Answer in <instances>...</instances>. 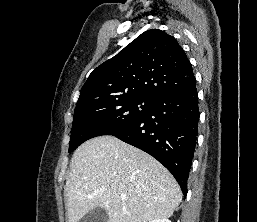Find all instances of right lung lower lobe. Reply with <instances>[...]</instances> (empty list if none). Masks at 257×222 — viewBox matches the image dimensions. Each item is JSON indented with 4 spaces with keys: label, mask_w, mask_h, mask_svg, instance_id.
I'll list each match as a JSON object with an SVG mask.
<instances>
[{
    "label": "right lung lower lobe",
    "mask_w": 257,
    "mask_h": 222,
    "mask_svg": "<svg viewBox=\"0 0 257 222\" xmlns=\"http://www.w3.org/2000/svg\"><path fill=\"white\" fill-rule=\"evenodd\" d=\"M198 120L195 82L187 89L157 99L151 112L113 136L157 159L171 172L186 195Z\"/></svg>",
    "instance_id": "98d812e1"
}]
</instances>
